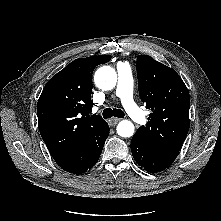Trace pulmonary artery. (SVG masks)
<instances>
[{
  "label": "pulmonary artery",
  "mask_w": 221,
  "mask_h": 221,
  "mask_svg": "<svg viewBox=\"0 0 221 221\" xmlns=\"http://www.w3.org/2000/svg\"><path fill=\"white\" fill-rule=\"evenodd\" d=\"M118 84L116 94L129 117L136 123L143 124L147 121L145 113L137 106L133 98V77L127 63L117 65Z\"/></svg>",
  "instance_id": "1"
}]
</instances>
